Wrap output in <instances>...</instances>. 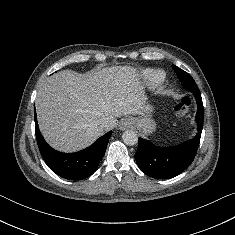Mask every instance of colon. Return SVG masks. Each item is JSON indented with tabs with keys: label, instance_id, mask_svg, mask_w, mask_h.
Instances as JSON below:
<instances>
[{
	"label": "colon",
	"instance_id": "colon-1",
	"mask_svg": "<svg viewBox=\"0 0 235 235\" xmlns=\"http://www.w3.org/2000/svg\"><path fill=\"white\" fill-rule=\"evenodd\" d=\"M190 108V100L188 98L181 99L175 106L174 110L178 115H185Z\"/></svg>",
	"mask_w": 235,
	"mask_h": 235
}]
</instances>
